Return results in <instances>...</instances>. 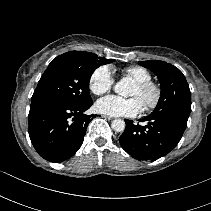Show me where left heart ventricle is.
<instances>
[{
    "instance_id": "left-heart-ventricle-1",
    "label": "left heart ventricle",
    "mask_w": 211,
    "mask_h": 211,
    "mask_svg": "<svg viewBox=\"0 0 211 211\" xmlns=\"http://www.w3.org/2000/svg\"><path fill=\"white\" fill-rule=\"evenodd\" d=\"M130 96L138 98L142 105L152 98V92H143L136 85L132 88Z\"/></svg>"
}]
</instances>
